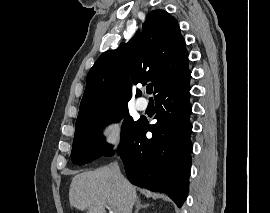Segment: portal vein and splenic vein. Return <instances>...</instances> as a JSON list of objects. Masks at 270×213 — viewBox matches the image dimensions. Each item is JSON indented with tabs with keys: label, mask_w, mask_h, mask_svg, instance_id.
<instances>
[{
	"label": "portal vein and splenic vein",
	"mask_w": 270,
	"mask_h": 213,
	"mask_svg": "<svg viewBox=\"0 0 270 213\" xmlns=\"http://www.w3.org/2000/svg\"><path fill=\"white\" fill-rule=\"evenodd\" d=\"M108 207H109V206H108ZM109 213H115V211H113V210L110 209Z\"/></svg>",
	"instance_id": "portal-vein-and-splenic-vein-1"
}]
</instances>
